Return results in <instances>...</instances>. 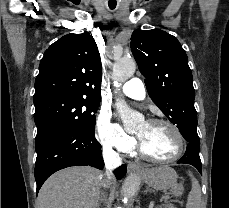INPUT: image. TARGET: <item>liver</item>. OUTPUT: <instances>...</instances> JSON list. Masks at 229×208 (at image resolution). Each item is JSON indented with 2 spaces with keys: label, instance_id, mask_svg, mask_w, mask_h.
<instances>
[{
  "label": "liver",
  "instance_id": "6515ba94",
  "mask_svg": "<svg viewBox=\"0 0 229 208\" xmlns=\"http://www.w3.org/2000/svg\"><path fill=\"white\" fill-rule=\"evenodd\" d=\"M102 178L89 166L56 172L43 184L35 208H97Z\"/></svg>",
  "mask_w": 229,
  "mask_h": 208
}]
</instances>
